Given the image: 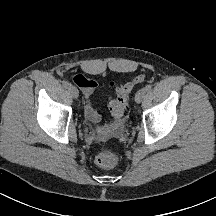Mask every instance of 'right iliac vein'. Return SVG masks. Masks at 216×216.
Wrapping results in <instances>:
<instances>
[{
	"instance_id": "1",
	"label": "right iliac vein",
	"mask_w": 216,
	"mask_h": 216,
	"mask_svg": "<svg viewBox=\"0 0 216 216\" xmlns=\"http://www.w3.org/2000/svg\"><path fill=\"white\" fill-rule=\"evenodd\" d=\"M68 91L73 98H77L79 96V91L75 86H70Z\"/></svg>"
}]
</instances>
